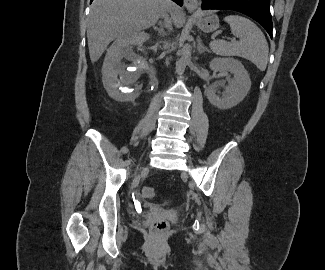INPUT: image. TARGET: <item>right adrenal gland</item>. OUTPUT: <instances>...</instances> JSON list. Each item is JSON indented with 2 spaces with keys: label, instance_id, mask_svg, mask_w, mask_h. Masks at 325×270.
Instances as JSON below:
<instances>
[{
  "label": "right adrenal gland",
  "instance_id": "2a0ac1e0",
  "mask_svg": "<svg viewBox=\"0 0 325 270\" xmlns=\"http://www.w3.org/2000/svg\"><path fill=\"white\" fill-rule=\"evenodd\" d=\"M153 29H154L155 31H157V32H158V35H160V36L165 34V32H164V28H163V25H162L161 22H159V27H157V26H153Z\"/></svg>",
  "mask_w": 325,
  "mask_h": 270
}]
</instances>
